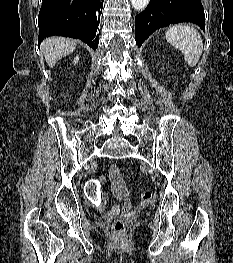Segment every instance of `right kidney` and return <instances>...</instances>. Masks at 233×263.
I'll return each instance as SVG.
<instances>
[{"mask_svg": "<svg viewBox=\"0 0 233 263\" xmlns=\"http://www.w3.org/2000/svg\"><path fill=\"white\" fill-rule=\"evenodd\" d=\"M78 61H79V56H76V57L74 58V64H77Z\"/></svg>", "mask_w": 233, "mask_h": 263, "instance_id": "ca27d5eb", "label": "right kidney"}]
</instances>
